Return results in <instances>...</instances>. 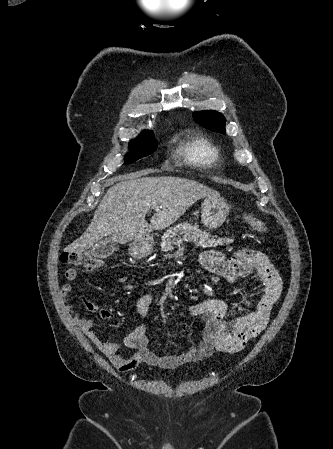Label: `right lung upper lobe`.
Segmentation results:
<instances>
[{"label": "right lung upper lobe", "mask_w": 333, "mask_h": 449, "mask_svg": "<svg viewBox=\"0 0 333 449\" xmlns=\"http://www.w3.org/2000/svg\"><path fill=\"white\" fill-rule=\"evenodd\" d=\"M146 138V135L144 134V133H142L138 138H136L135 140H133V141H136V140H143V139H145Z\"/></svg>", "instance_id": "cb5924a9"}]
</instances>
